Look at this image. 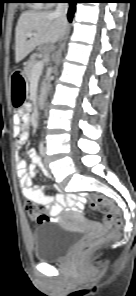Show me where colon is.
I'll list each match as a JSON object with an SVG mask.
<instances>
[{
	"mask_svg": "<svg viewBox=\"0 0 136 296\" xmlns=\"http://www.w3.org/2000/svg\"><path fill=\"white\" fill-rule=\"evenodd\" d=\"M84 201H88L90 206L102 214L106 225L120 227L122 224L121 211L112 203V201L103 196H80ZM25 211L34 217L38 223L47 222V217L41 212V206L35 202L28 201L24 205ZM102 237L88 236L78 248V253L82 255L89 254L100 243Z\"/></svg>",
	"mask_w": 136,
	"mask_h": 296,
	"instance_id": "obj_1",
	"label": "colon"
}]
</instances>
